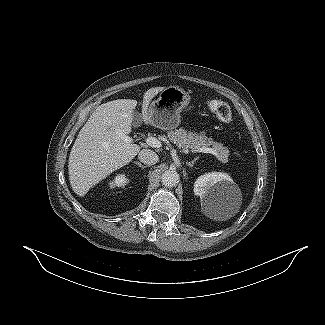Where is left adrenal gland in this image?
<instances>
[{"label": "left adrenal gland", "mask_w": 325, "mask_h": 325, "mask_svg": "<svg viewBox=\"0 0 325 325\" xmlns=\"http://www.w3.org/2000/svg\"><path fill=\"white\" fill-rule=\"evenodd\" d=\"M199 159V157H196L194 160H192L191 162H186V164L189 166V167H192L194 165V163Z\"/></svg>", "instance_id": "obj_1"}]
</instances>
